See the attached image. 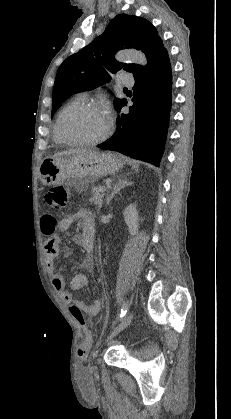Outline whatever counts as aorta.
Segmentation results:
<instances>
[{
    "mask_svg": "<svg viewBox=\"0 0 231 419\" xmlns=\"http://www.w3.org/2000/svg\"><path fill=\"white\" fill-rule=\"evenodd\" d=\"M116 60L124 63H135L145 66L147 64V58L144 53L137 50H123L116 54Z\"/></svg>",
    "mask_w": 231,
    "mask_h": 419,
    "instance_id": "aorta-1",
    "label": "aorta"
}]
</instances>
